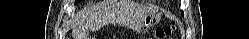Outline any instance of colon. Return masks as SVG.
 <instances>
[{
	"label": "colon",
	"instance_id": "colon-1",
	"mask_svg": "<svg viewBox=\"0 0 249 39\" xmlns=\"http://www.w3.org/2000/svg\"><path fill=\"white\" fill-rule=\"evenodd\" d=\"M174 30L175 28L173 25H164L162 27H158L155 30V37L158 39L169 38Z\"/></svg>",
	"mask_w": 249,
	"mask_h": 39
}]
</instances>
